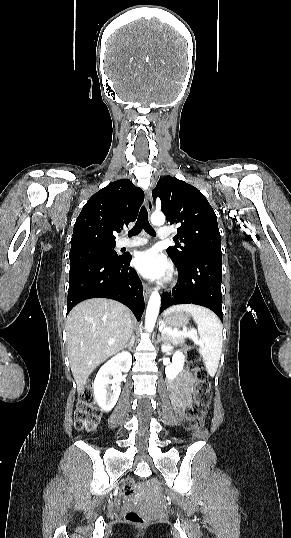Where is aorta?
<instances>
[{"instance_id":"1","label":"aorta","mask_w":291,"mask_h":538,"mask_svg":"<svg viewBox=\"0 0 291 538\" xmlns=\"http://www.w3.org/2000/svg\"><path fill=\"white\" fill-rule=\"evenodd\" d=\"M151 222L154 225H162L165 222V216L161 212H154L151 216ZM160 309V294L157 290L153 291L150 295L146 316H145V328L148 332H152L154 329L156 319Z\"/></svg>"}]
</instances>
